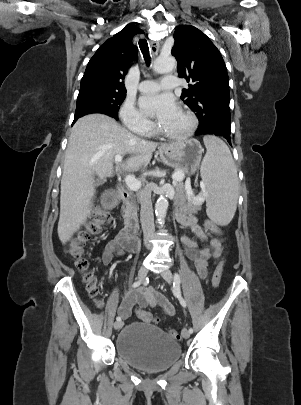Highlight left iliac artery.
Instances as JSON below:
<instances>
[{"label":"left iliac artery","instance_id":"obj_1","mask_svg":"<svg viewBox=\"0 0 301 405\" xmlns=\"http://www.w3.org/2000/svg\"><path fill=\"white\" fill-rule=\"evenodd\" d=\"M180 283H181V279L178 273H174V282H173V293L174 295L179 299L180 304L183 307H186V301L184 300V298L181 295V290H180ZM189 332L193 333V329L189 328Z\"/></svg>","mask_w":301,"mask_h":405}]
</instances>
